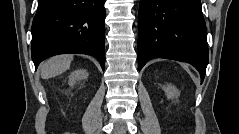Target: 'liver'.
<instances>
[{
    "label": "liver",
    "mask_w": 239,
    "mask_h": 134,
    "mask_svg": "<svg viewBox=\"0 0 239 134\" xmlns=\"http://www.w3.org/2000/svg\"><path fill=\"white\" fill-rule=\"evenodd\" d=\"M72 55L55 56L40 65L41 78L49 79L62 74L70 68Z\"/></svg>",
    "instance_id": "liver-1"
}]
</instances>
